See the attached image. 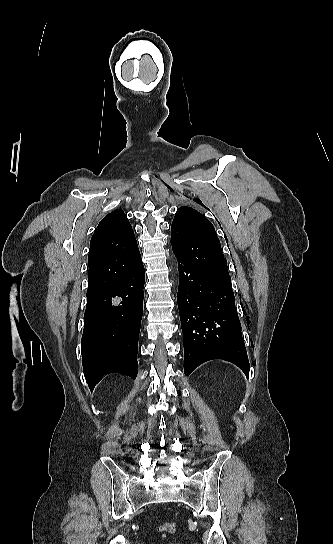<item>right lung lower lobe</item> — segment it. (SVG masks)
Returning a JSON list of instances; mask_svg holds the SVG:
<instances>
[{
    "label": "right lung lower lobe",
    "instance_id": "98d812e1",
    "mask_svg": "<svg viewBox=\"0 0 333 544\" xmlns=\"http://www.w3.org/2000/svg\"><path fill=\"white\" fill-rule=\"evenodd\" d=\"M144 282L140 263L112 287L87 296L81 350L83 373L91 391L109 373L136 378Z\"/></svg>",
    "mask_w": 333,
    "mask_h": 544
}]
</instances>
